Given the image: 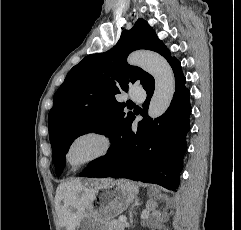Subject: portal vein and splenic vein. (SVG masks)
<instances>
[{"label":"portal vein and splenic vein","instance_id":"1","mask_svg":"<svg viewBox=\"0 0 241 230\" xmlns=\"http://www.w3.org/2000/svg\"><path fill=\"white\" fill-rule=\"evenodd\" d=\"M119 220H120L121 222H126V218H125V217H119Z\"/></svg>","mask_w":241,"mask_h":230}]
</instances>
